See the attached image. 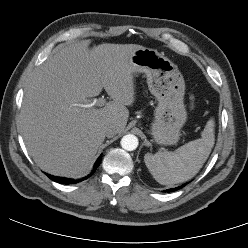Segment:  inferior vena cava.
<instances>
[{
  "mask_svg": "<svg viewBox=\"0 0 248 248\" xmlns=\"http://www.w3.org/2000/svg\"><path fill=\"white\" fill-rule=\"evenodd\" d=\"M103 132L106 137L111 138L118 133V128L117 126L113 124H109V125L104 126Z\"/></svg>",
  "mask_w": 248,
  "mask_h": 248,
  "instance_id": "inferior-vena-cava-1",
  "label": "inferior vena cava"
}]
</instances>
